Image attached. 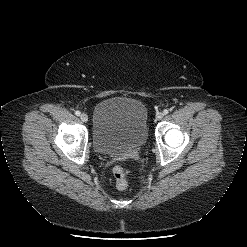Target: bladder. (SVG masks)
<instances>
[{"label": "bladder", "instance_id": "1", "mask_svg": "<svg viewBox=\"0 0 247 247\" xmlns=\"http://www.w3.org/2000/svg\"><path fill=\"white\" fill-rule=\"evenodd\" d=\"M148 112L135 98L111 97L93 112L92 143L102 155L126 156L143 147L148 138Z\"/></svg>", "mask_w": 247, "mask_h": 247}]
</instances>
